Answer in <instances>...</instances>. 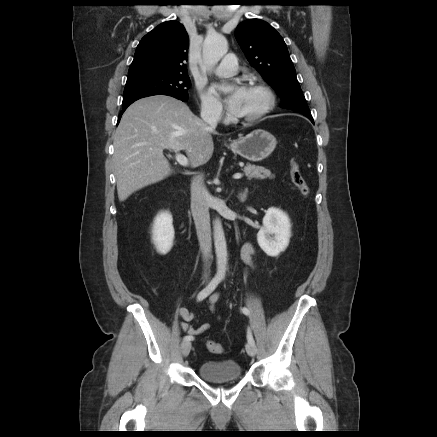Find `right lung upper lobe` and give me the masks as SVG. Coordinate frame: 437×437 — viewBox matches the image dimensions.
<instances>
[{"label": "right lung upper lobe", "mask_w": 437, "mask_h": 437, "mask_svg": "<svg viewBox=\"0 0 437 437\" xmlns=\"http://www.w3.org/2000/svg\"><path fill=\"white\" fill-rule=\"evenodd\" d=\"M188 48L189 38L184 26L177 21H166L141 39L129 72L187 74Z\"/></svg>", "instance_id": "cb5924a9"}]
</instances>
